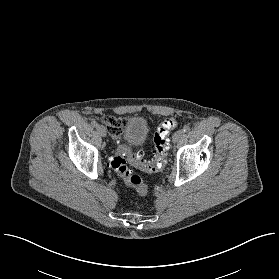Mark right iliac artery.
Segmentation results:
<instances>
[{"mask_svg":"<svg viewBox=\"0 0 279 279\" xmlns=\"http://www.w3.org/2000/svg\"><path fill=\"white\" fill-rule=\"evenodd\" d=\"M91 125H92L93 127L99 126L98 123H97L95 120H93V121L91 122Z\"/></svg>","mask_w":279,"mask_h":279,"instance_id":"1","label":"right iliac artery"}]
</instances>
